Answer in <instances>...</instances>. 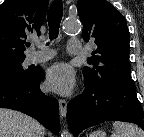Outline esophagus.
<instances>
[{
    "label": "esophagus",
    "mask_w": 144,
    "mask_h": 137,
    "mask_svg": "<svg viewBox=\"0 0 144 137\" xmlns=\"http://www.w3.org/2000/svg\"><path fill=\"white\" fill-rule=\"evenodd\" d=\"M59 109L60 115L62 118H65L67 115V102L64 99H59Z\"/></svg>",
    "instance_id": "1"
}]
</instances>
